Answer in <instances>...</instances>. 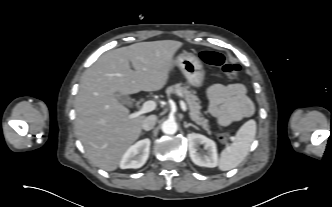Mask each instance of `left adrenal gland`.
<instances>
[{
    "mask_svg": "<svg viewBox=\"0 0 332 207\" xmlns=\"http://www.w3.org/2000/svg\"><path fill=\"white\" fill-rule=\"evenodd\" d=\"M190 126L194 127L195 129H198V127H197V126H195L194 124H192V123H187V122H184V127H185V128H188V127H190Z\"/></svg>",
    "mask_w": 332,
    "mask_h": 207,
    "instance_id": "left-adrenal-gland-1",
    "label": "left adrenal gland"
}]
</instances>
